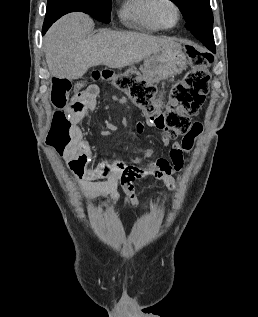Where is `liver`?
Returning a JSON list of instances; mask_svg holds the SVG:
<instances>
[{
  "label": "liver",
  "mask_w": 258,
  "mask_h": 317,
  "mask_svg": "<svg viewBox=\"0 0 258 317\" xmlns=\"http://www.w3.org/2000/svg\"><path fill=\"white\" fill-rule=\"evenodd\" d=\"M94 22L84 12H69L52 24L44 36L47 66L59 78H81L89 66L120 68L142 58L180 46L178 38H158L145 32L100 30L91 36Z\"/></svg>",
  "instance_id": "1"
}]
</instances>
